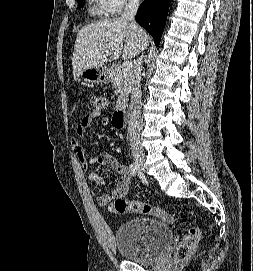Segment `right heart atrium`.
Returning a JSON list of instances; mask_svg holds the SVG:
<instances>
[{
  "instance_id": "1",
  "label": "right heart atrium",
  "mask_w": 253,
  "mask_h": 271,
  "mask_svg": "<svg viewBox=\"0 0 253 271\" xmlns=\"http://www.w3.org/2000/svg\"><path fill=\"white\" fill-rule=\"evenodd\" d=\"M140 0H101L103 5L107 7L110 13H120L129 5L138 4Z\"/></svg>"
}]
</instances>
